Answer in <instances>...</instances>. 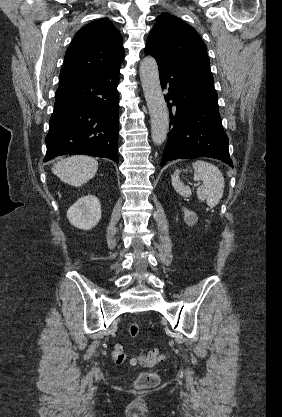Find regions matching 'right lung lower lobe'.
<instances>
[{"label": "right lung lower lobe", "mask_w": 282, "mask_h": 417, "mask_svg": "<svg viewBox=\"0 0 282 417\" xmlns=\"http://www.w3.org/2000/svg\"><path fill=\"white\" fill-rule=\"evenodd\" d=\"M119 70L59 85L44 162L64 154H86L118 163Z\"/></svg>", "instance_id": "1"}]
</instances>
